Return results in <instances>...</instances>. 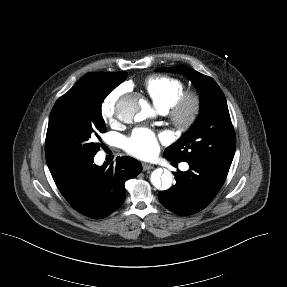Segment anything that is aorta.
<instances>
[{
  "label": "aorta",
  "instance_id": "762f6f07",
  "mask_svg": "<svg viewBox=\"0 0 287 287\" xmlns=\"http://www.w3.org/2000/svg\"><path fill=\"white\" fill-rule=\"evenodd\" d=\"M150 113L149 104L138 94H128L122 97L116 105L117 117L124 123L143 121ZM150 181L155 188L168 190L172 186L173 175L167 169L158 168L151 173Z\"/></svg>",
  "mask_w": 287,
  "mask_h": 287
}]
</instances>
